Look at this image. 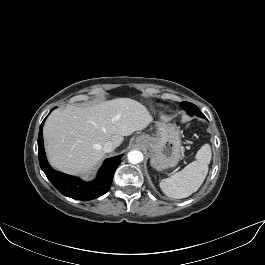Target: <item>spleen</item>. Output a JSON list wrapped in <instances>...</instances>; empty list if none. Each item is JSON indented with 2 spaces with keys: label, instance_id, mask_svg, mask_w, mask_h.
Masks as SVG:
<instances>
[{
  "label": "spleen",
  "instance_id": "3e777b00",
  "mask_svg": "<svg viewBox=\"0 0 265 265\" xmlns=\"http://www.w3.org/2000/svg\"><path fill=\"white\" fill-rule=\"evenodd\" d=\"M212 153L209 144H204L196 153V160L169 178L162 179L160 188L168 197L181 199L196 192L208 173Z\"/></svg>",
  "mask_w": 265,
  "mask_h": 265
}]
</instances>
